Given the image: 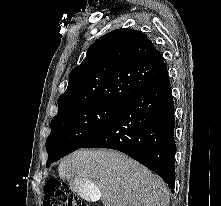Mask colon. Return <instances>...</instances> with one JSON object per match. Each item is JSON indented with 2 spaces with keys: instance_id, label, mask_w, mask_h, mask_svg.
I'll return each mask as SVG.
<instances>
[{
  "instance_id": "1",
  "label": "colon",
  "mask_w": 221,
  "mask_h": 206,
  "mask_svg": "<svg viewBox=\"0 0 221 206\" xmlns=\"http://www.w3.org/2000/svg\"><path fill=\"white\" fill-rule=\"evenodd\" d=\"M43 206H88L64 182L50 179L45 183Z\"/></svg>"
}]
</instances>
